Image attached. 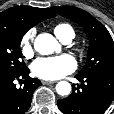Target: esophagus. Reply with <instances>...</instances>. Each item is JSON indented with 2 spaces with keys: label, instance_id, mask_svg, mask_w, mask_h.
<instances>
[{
  "label": "esophagus",
  "instance_id": "esophagus-1",
  "mask_svg": "<svg viewBox=\"0 0 114 114\" xmlns=\"http://www.w3.org/2000/svg\"><path fill=\"white\" fill-rule=\"evenodd\" d=\"M54 83H55L54 81L42 80V84H44V85H51V84H54Z\"/></svg>",
  "mask_w": 114,
  "mask_h": 114
}]
</instances>
